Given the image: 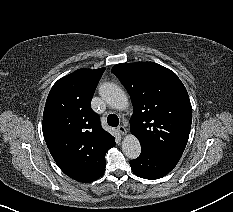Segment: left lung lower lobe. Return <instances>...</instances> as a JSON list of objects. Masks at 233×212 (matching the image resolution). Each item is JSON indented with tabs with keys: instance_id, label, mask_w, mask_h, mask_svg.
<instances>
[{
	"instance_id": "1",
	"label": "left lung lower lobe",
	"mask_w": 233,
	"mask_h": 212,
	"mask_svg": "<svg viewBox=\"0 0 233 212\" xmlns=\"http://www.w3.org/2000/svg\"><path fill=\"white\" fill-rule=\"evenodd\" d=\"M177 163L176 160L142 149L141 155L130 161V166L135 175L153 180L168 174Z\"/></svg>"
}]
</instances>
